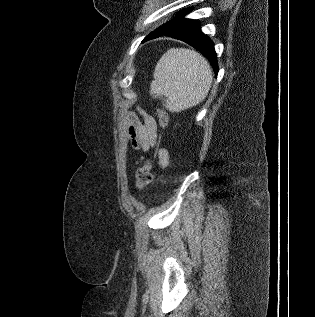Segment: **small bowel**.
Returning <instances> with one entry per match:
<instances>
[{"mask_svg":"<svg viewBox=\"0 0 315 317\" xmlns=\"http://www.w3.org/2000/svg\"><path fill=\"white\" fill-rule=\"evenodd\" d=\"M123 138L126 145L134 150H141L143 152L154 150L162 169L168 165V150L159 146L157 123L145 111L138 109L137 112L128 113L123 124Z\"/></svg>","mask_w":315,"mask_h":317,"instance_id":"1","label":"small bowel"}]
</instances>
